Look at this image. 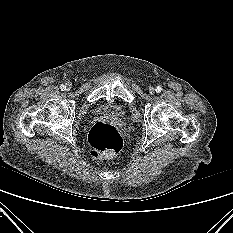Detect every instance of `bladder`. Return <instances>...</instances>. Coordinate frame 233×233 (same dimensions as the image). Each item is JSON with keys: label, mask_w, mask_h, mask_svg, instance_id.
<instances>
[{"label": "bladder", "mask_w": 233, "mask_h": 233, "mask_svg": "<svg viewBox=\"0 0 233 233\" xmlns=\"http://www.w3.org/2000/svg\"><path fill=\"white\" fill-rule=\"evenodd\" d=\"M100 111L111 116H121L124 112L123 108L118 105H106L101 107Z\"/></svg>", "instance_id": "1"}]
</instances>
